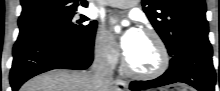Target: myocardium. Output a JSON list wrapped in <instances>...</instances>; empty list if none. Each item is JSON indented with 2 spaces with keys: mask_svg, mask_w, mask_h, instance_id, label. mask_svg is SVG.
I'll return each mask as SVG.
<instances>
[{
  "mask_svg": "<svg viewBox=\"0 0 220 91\" xmlns=\"http://www.w3.org/2000/svg\"><path fill=\"white\" fill-rule=\"evenodd\" d=\"M142 33L150 36L154 40L155 45L159 52V64L154 70L150 72H140V71L133 70L129 66L126 57L123 56V59H122L123 71L126 75L132 78H135V79H141V80L156 79L160 77L161 75H163L169 68V65H170L169 51H168L165 41L163 40V38L157 31H155L154 29L146 28L142 31Z\"/></svg>",
  "mask_w": 220,
  "mask_h": 91,
  "instance_id": "myocardium-1",
  "label": "myocardium"
}]
</instances>
